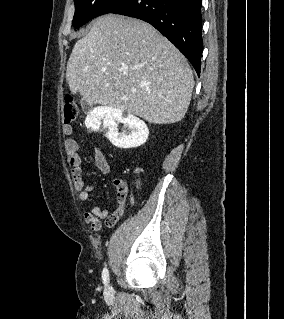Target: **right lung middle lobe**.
<instances>
[{
  "label": "right lung middle lobe",
  "instance_id": "dd1d6c3e",
  "mask_svg": "<svg viewBox=\"0 0 284 319\" xmlns=\"http://www.w3.org/2000/svg\"><path fill=\"white\" fill-rule=\"evenodd\" d=\"M129 0H74L73 26L78 28L94 17L111 13Z\"/></svg>",
  "mask_w": 284,
  "mask_h": 319
}]
</instances>
